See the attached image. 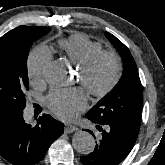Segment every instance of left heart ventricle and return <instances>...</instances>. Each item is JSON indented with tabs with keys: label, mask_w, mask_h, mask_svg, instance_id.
Instances as JSON below:
<instances>
[{
	"label": "left heart ventricle",
	"mask_w": 165,
	"mask_h": 165,
	"mask_svg": "<svg viewBox=\"0 0 165 165\" xmlns=\"http://www.w3.org/2000/svg\"><path fill=\"white\" fill-rule=\"evenodd\" d=\"M113 74V64L109 59L101 60L91 74L90 81L96 87L106 85Z\"/></svg>",
	"instance_id": "left-heart-ventricle-1"
}]
</instances>
